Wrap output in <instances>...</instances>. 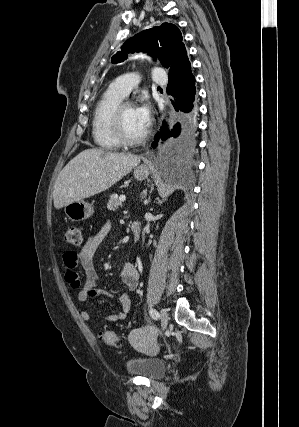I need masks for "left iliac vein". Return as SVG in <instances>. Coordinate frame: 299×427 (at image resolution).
<instances>
[{"instance_id":"4c4485c4","label":"left iliac vein","mask_w":299,"mask_h":427,"mask_svg":"<svg viewBox=\"0 0 299 427\" xmlns=\"http://www.w3.org/2000/svg\"><path fill=\"white\" fill-rule=\"evenodd\" d=\"M160 319H161L162 330H165L167 328L168 320H169L168 313L165 309L160 310Z\"/></svg>"}]
</instances>
